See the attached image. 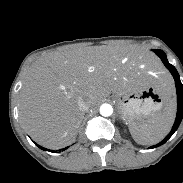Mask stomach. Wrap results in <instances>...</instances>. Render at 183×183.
Wrapping results in <instances>:
<instances>
[{
  "label": "stomach",
  "instance_id": "obj_1",
  "mask_svg": "<svg viewBox=\"0 0 183 183\" xmlns=\"http://www.w3.org/2000/svg\"><path fill=\"white\" fill-rule=\"evenodd\" d=\"M131 74L133 83L127 92L118 95L117 100L122 117L135 123L160 111L168 98L156 83H150L154 76L148 65L131 66Z\"/></svg>",
  "mask_w": 183,
  "mask_h": 183
}]
</instances>
